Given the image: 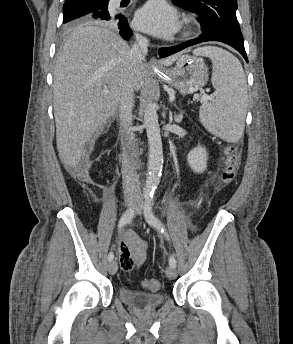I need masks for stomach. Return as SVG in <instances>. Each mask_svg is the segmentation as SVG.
<instances>
[{"label": "stomach", "mask_w": 293, "mask_h": 344, "mask_svg": "<svg viewBox=\"0 0 293 344\" xmlns=\"http://www.w3.org/2000/svg\"><path fill=\"white\" fill-rule=\"evenodd\" d=\"M159 77L182 94H191L203 87L208 80V69L201 58L181 55L175 66L163 69Z\"/></svg>", "instance_id": "stomach-1"}]
</instances>
